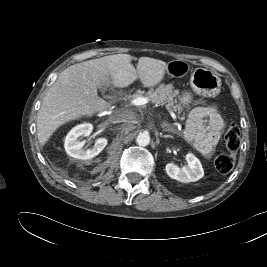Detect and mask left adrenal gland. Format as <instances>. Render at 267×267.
<instances>
[{"instance_id":"left-adrenal-gland-1","label":"left adrenal gland","mask_w":267,"mask_h":267,"mask_svg":"<svg viewBox=\"0 0 267 267\" xmlns=\"http://www.w3.org/2000/svg\"><path fill=\"white\" fill-rule=\"evenodd\" d=\"M165 131H173L172 130V128H170V127H167L166 129H164ZM161 137H163V138H173V136L172 135H161Z\"/></svg>"}]
</instances>
